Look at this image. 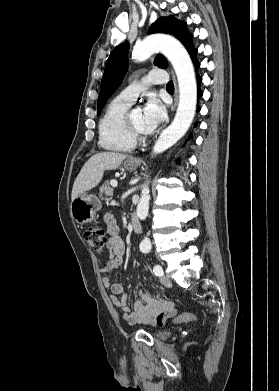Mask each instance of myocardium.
I'll list each match as a JSON object with an SVG mask.
<instances>
[{
  "mask_svg": "<svg viewBox=\"0 0 279 391\" xmlns=\"http://www.w3.org/2000/svg\"><path fill=\"white\" fill-rule=\"evenodd\" d=\"M131 112L127 111L125 115V125L127 132L131 138V140L136 143H144L148 140V134L141 133L134 125L131 119Z\"/></svg>",
  "mask_w": 279,
  "mask_h": 391,
  "instance_id": "1",
  "label": "myocardium"
}]
</instances>
